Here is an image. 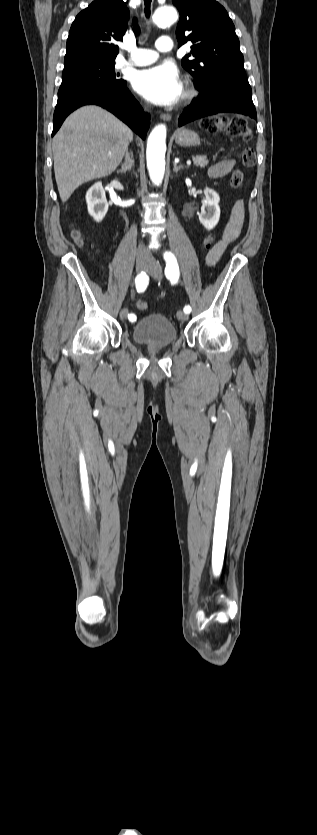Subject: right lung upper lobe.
I'll list each match as a JSON object with an SVG mask.
<instances>
[{"instance_id":"cb5924a9","label":"right lung upper lobe","mask_w":317,"mask_h":835,"mask_svg":"<svg viewBox=\"0 0 317 835\" xmlns=\"http://www.w3.org/2000/svg\"><path fill=\"white\" fill-rule=\"evenodd\" d=\"M129 10L123 0H95L75 18L70 28L65 61L98 59L115 62L127 29ZM136 34L139 33L134 19Z\"/></svg>"}]
</instances>
